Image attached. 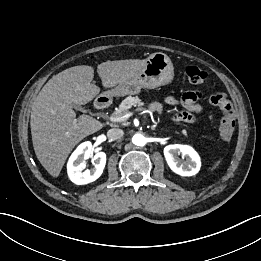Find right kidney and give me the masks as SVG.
Wrapping results in <instances>:
<instances>
[{"label":"right kidney","mask_w":261,"mask_h":261,"mask_svg":"<svg viewBox=\"0 0 261 261\" xmlns=\"http://www.w3.org/2000/svg\"><path fill=\"white\" fill-rule=\"evenodd\" d=\"M92 156V144L84 142L80 144L72 153L67 163V172L70 180L77 185L91 183L98 179L106 164V154L104 152L96 153L92 158L94 168L82 171L85 167V160Z\"/></svg>","instance_id":"obj_1"}]
</instances>
